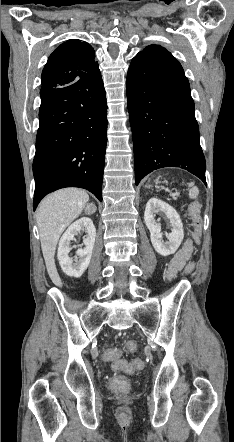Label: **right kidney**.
<instances>
[{
	"instance_id": "obj_1",
	"label": "right kidney",
	"mask_w": 234,
	"mask_h": 442,
	"mask_svg": "<svg viewBox=\"0 0 234 442\" xmlns=\"http://www.w3.org/2000/svg\"><path fill=\"white\" fill-rule=\"evenodd\" d=\"M80 231H85L87 236L83 240L84 248L77 250L76 257L73 260L69 256L72 249L70 242L75 239V235L80 233ZM95 237V226L88 217H82L76 220L67 228L59 241L58 247V260L65 274L75 278L82 276L90 264Z\"/></svg>"
}]
</instances>
